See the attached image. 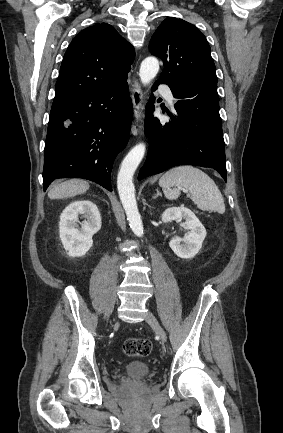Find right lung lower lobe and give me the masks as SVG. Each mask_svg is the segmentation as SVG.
Masks as SVG:
<instances>
[{"label":"right lung lower lobe","instance_id":"right-lung-lower-lobe-1","mask_svg":"<svg viewBox=\"0 0 283 433\" xmlns=\"http://www.w3.org/2000/svg\"><path fill=\"white\" fill-rule=\"evenodd\" d=\"M133 117L128 83L53 102L44 149V191L57 178H84L112 191L110 174Z\"/></svg>","mask_w":283,"mask_h":433}]
</instances>
